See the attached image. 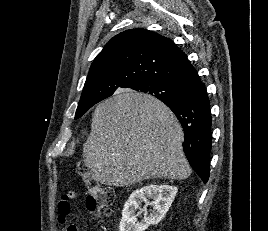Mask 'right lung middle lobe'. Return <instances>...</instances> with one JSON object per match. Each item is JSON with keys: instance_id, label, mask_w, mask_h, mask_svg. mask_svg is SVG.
Segmentation results:
<instances>
[{"instance_id": "dd1d6c3e", "label": "right lung middle lobe", "mask_w": 268, "mask_h": 231, "mask_svg": "<svg viewBox=\"0 0 268 231\" xmlns=\"http://www.w3.org/2000/svg\"><path fill=\"white\" fill-rule=\"evenodd\" d=\"M131 89L138 92L150 94L160 99L161 101L181 100L188 94V91L184 89L177 88L160 81L140 82L133 86ZM93 105L95 104L89 102H79L78 108L76 110L75 119L81 117Z\"/></svg>"}]
</instances>
